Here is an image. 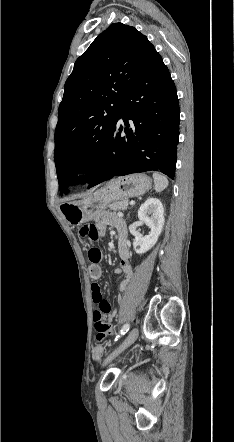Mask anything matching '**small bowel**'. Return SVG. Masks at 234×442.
<instances>
[{
  "mask_svg": "<svg viewBox=\"0 0 234 442\" xmlns=\"http://www.w3.org/2000/svg\"><path fill=\"white\" fill-rule=\"evenodd\" d=\"M108 226L114 227L119 236V246H118V254L120 257V264L115 269L117 274L122 276V280L120 282V291L121 294L118 295V302H121L123 299L122 293L125 291L130 278L132 276V267L129 263L130 252L127 246V228L126 223L123 218L114 213L108 212H100L96 215V229H97V238L104 236L105 229ZM97 284H93L91 286V290ZM117 310H109L108 314H94L93 315V326L97 331L98 340H102L106 334H113V330L111 329V322L117 316Z\"/></svg>",
  "mask_w": 234,
  "mask_h": 442,
  "instance_id": "1",
  "label": "small bowel"
}]
</instances>
